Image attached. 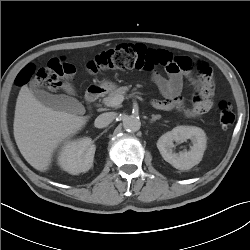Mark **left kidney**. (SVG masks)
<instances>
[{"mask_svg": "<svg viewBox=\"0 0 250 250\" xmlns=\"http://www.w3.org/2000/svg\"><path fill=\"white\" fill-rule=\"evenodd\" d=\"M191 139L190 151L174 153V141ZM206 134L195 126H177L163 134L157 141V148L165 161L179 170H188L200 163L206 149Z\"/></svg>", "mask_w": 250, "mask_h": 250, "instance_id": "left-kidney-1", "label": "left kidney"}]
</instances>
